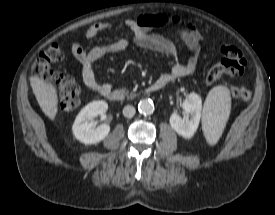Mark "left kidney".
Here are the masks:
<instances>
[{
	"instance_id": "5707ae66",
	"label": "left kidney",
	"mask_w": 275,
	"mask_h": 215,
	"mask_svg": "<svg viewBox=\"0 0 275 215\" xmlns=\"http://www.w3.org/2000/svg\"><path fill=\"white\" fill-rule=\"evenodd\" d=\"M182 107L186 116L181 118L178 114L173 113L170 117V125L179 135L191 138L196 132L201 118V97L196 93H190Z\"/></svg>"
}]
</instances>
